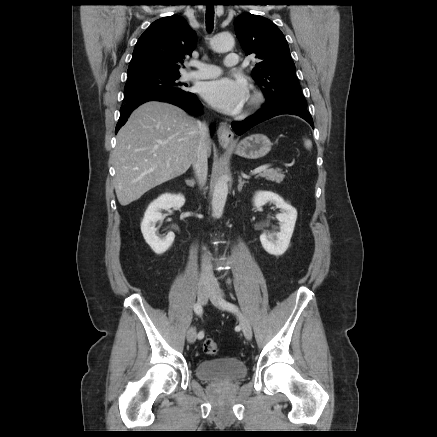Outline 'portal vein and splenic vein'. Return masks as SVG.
Here are the masks:
<instances>
[{
	"mask_svg": "<svg viewBox=\"0 0 437 437\" xmlns=\"http://www.w3.org/2000/svg\"><path fill=\"white\" fill-rule=\"evenodd\" d=\"M268 167H269V165L260 166V167L256 168L255 170H253L252 174L255 175V174L261 173L262 171H264Z\"/></svg>",
	"mask_w": 437,
	"mask_h": 437,
	"instance_id": "18ae733b",
	"label": "portal vein and splenic vein"
}]
</instances>
